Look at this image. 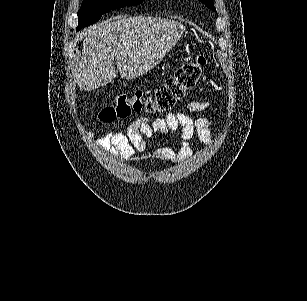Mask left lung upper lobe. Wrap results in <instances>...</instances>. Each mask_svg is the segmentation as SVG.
Listing matches in <instances>:
<instances>
[{
  "label": "left lung upper lobe",
  "mask_w": 307,
  "mask_h": 301,
  "mask_svg": "<svg viewBox=\"0 0 307 301\" xmlns=\"http://www.w3.org/2000/svg\"><path fill=\"white\" fill-rule=\"evenodd\" d=\"M206 7L210 8L213 11H216L212 0H200Z\"/></svg>",
  "instance_id": "left-lung-upper-lobe-1"
}]
</instances>
